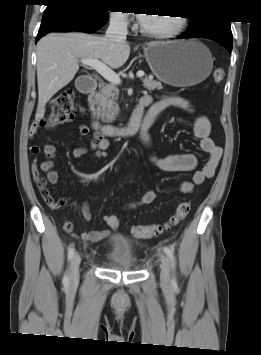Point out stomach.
<instances>
[{
    "mask_svg": "<svg viewBox=\"0 0 261 355\" xmlns=\"http://www.w3.org/2000/svg\"><path fill=\"white\" fill-rule=\"evenodd\" d=\"M144 55L159 80L177 87L204 81L213 68L209 49L196 39L151 43Z\"/></svg>",
    "mask_w": 261,
    "mask_h": 355,
    "instance_id": "stomach-1",
    "label": "stomach"
}]
</instances>
